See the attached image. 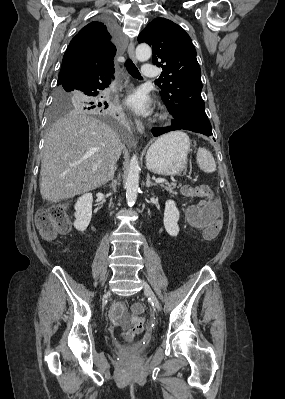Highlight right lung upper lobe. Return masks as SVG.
Listing matches in <instances>:
<instances>
[{"mask_svg": "<svg viewBox=\"0 0 285 399\" xmlns=\"http://www.w3.org/2000/svg\"><path fill=\"white\" fill-rule=\"evenodd\" d=\"M116 38L105 22L94 21L83 27L70 42L62 61L58 86L82 71L114 70Z\"/></svg>", "mask_w": 285, "mask_h": 399, "instance_id": "cb5924a9", "label": "right lung upper lobe"}]
</instances>
